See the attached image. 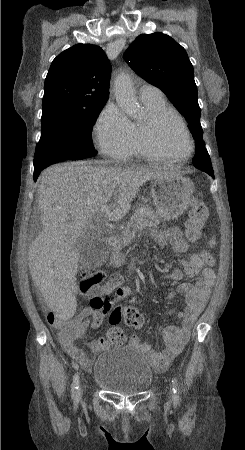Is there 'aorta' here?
<instances>
[{
	"instance_id": "1",
	"label": "aorta",
	"mask_w": 245,
	"mask_h": 450,
	"mask_svg": "<svg viewBox=\"0 0 245 450\" xmlns=\"http://www.w3.org/2000/svg\"><path fill=\"white\" fill-rule=\"evenodd\" d=\"M114 95L119 107L132 118H138L139 104L135 98L133 83L127 74H120L114 81Z\"/></svg>"
}]
</instances>
